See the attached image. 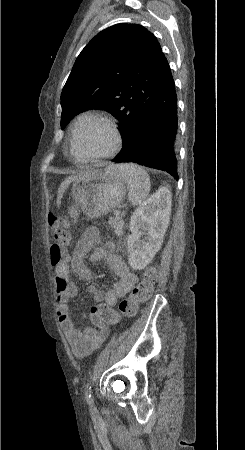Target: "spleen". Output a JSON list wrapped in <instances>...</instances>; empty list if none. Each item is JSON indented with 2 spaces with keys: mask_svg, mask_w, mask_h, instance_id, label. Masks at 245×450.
Returning <instances> with one entry per match:
<instances>
[{
  "mask_svg": "<svg viewBox=\"0 0 245 450\" xmlns=\"http://www.w3.org/2000/svg\"><path fill=\"white\" fill-rule=\"evenodd\" d=\"M116 168L127 183L129 201L134 206L140 205L149 195L150 177L148 173L136 164H119Z\"/></svg>",
  "mask_w": 245,
  "mask_h": 450,
  "instance_id": "3e777b00",
  "label": "spleen"
}]
</instances>
